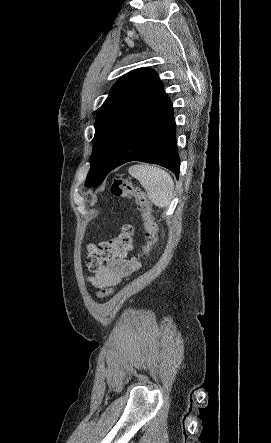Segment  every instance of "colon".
<instances>
[{
    "label": "colon",
    "mask_w": 271,
    "mask_h": 443,
    "mask_svg": "<svg viewBox=\"0 0 271 443\" xmlns=\"http://www.w3.org/2000/svg\"><path fill=\"white\" fill-rule=\"evenodd\" d=\"M113 197H123L134 200L140 213L144 229L145 242L141 253L147 255L157 240V228L151 213V206L146 194L136 187L130 180L115 178L111 186ZM134 233L130 225H125L119 235L98 245H89L85 260V267L90 272H98L104 264L116 258L124 257L133 248ZM113 287H103L97 294L99 299H104L113 293Z\"/></svg>",
    "instance_id": "colon-1"
}]
</instances>
